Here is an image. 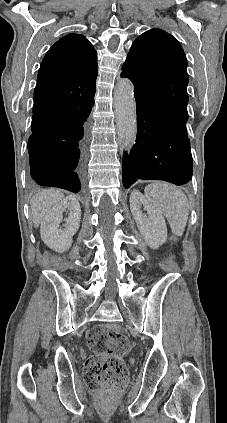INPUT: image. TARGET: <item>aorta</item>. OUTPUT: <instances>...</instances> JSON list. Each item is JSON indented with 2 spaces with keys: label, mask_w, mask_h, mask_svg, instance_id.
Instances as JSON below:
<instances>
[{
  "label": "aorta",
  "mask_w": 227,
  "mask_h": 423,
  "mask_svg": "<svg viewBox=\"0 0 227 423\" xmlns=\"http://www.w3.org/2000/svg\"><path fill=\"white\" fill-rule=\"evenodd\" d=\"M114 98L119 142L130 149L135 144L137 124L133 84L129 79L119 80Z\"/></svg>",
  "instance_id": "obj_1"
}]
</instances>
